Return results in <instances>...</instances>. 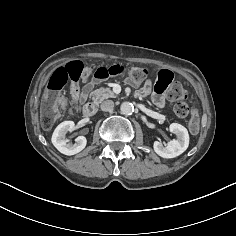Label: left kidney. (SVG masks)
I'll list each match as a JSON object with an SVG mask.
<instances>
[{"label": "left kidney", "instance_id": "obj_1", "mask_svg": "<svg viewBox=\"0 0 236 236\" xmlns=\"http://www.w3.org/2000/svg\"><path fill=\"white\" fill-rule=\"evenodd\" d=\"M171 133L177 136L167 144L155 141L153 144L154 151L163 158H174L182 154L189 145V134L187 129L178 123H172L169 126Z\"/></svg>", "mask_w": 236, "mask_h": 236}]
</instances>
